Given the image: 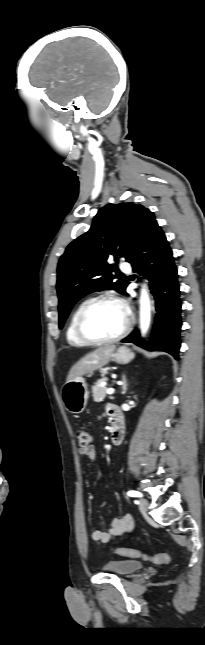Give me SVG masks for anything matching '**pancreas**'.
Listing matches in <instances>:
<instances>
[{
	"label": "pancreas",
	"instance_id": "1",
	"mask_svg": "<svg viewBox=\"0 0 205 645\" xmlns=\"http://www.w3.org/2000/svg\"><path fill=\"white\" fill-rule=\"evenodd\" d=\"M106 379H101L99 380L93 387H92V396L93 400L96 402L102 401L106 397V391L108 389L107 386H102L101 382L105 381Z\"/></svg>",
	"mask_w": 205,
	"mask_h": 645
}]
</instances>
